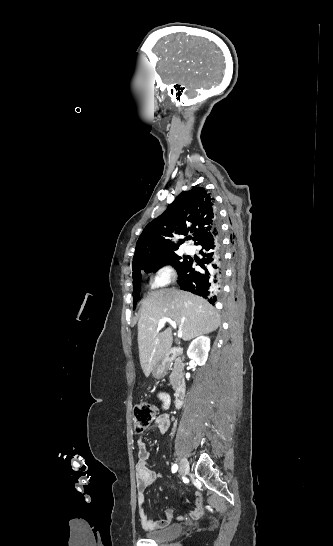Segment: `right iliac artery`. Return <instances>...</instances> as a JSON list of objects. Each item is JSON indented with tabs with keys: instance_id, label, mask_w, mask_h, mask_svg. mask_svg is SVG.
Masks as SVG:
<instances>
[{
	"instance_id": "obj_1",
	"label": "right iliac artery",
	"mask_w": 333,
	"mask_h": 546,
	"mask_svg": "<svg viewBox=\"0 0 333 546\" xmlns=\"http://www.w3.org/2000/svg\"><path fill=\"white\" fill-rule=\"evenodd\" d=\"M177 469H178V466L176 464H174L172 466V473H175L177 471Z\"/></svg>"
}]
</instances>
